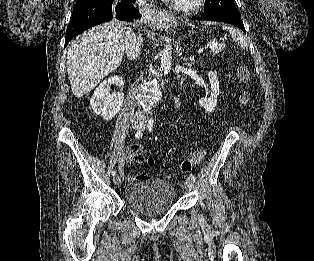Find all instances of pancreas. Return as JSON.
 Here are the masks:
<instances>
[{
  "instance_id": "pancreas-1",
  "label": "pancreas",
  "mask_w": 314,
  "mask_h": 261,
  "mask_svg": "<svg viewBox=\"0 0 314 261\" xmlns=\"http://www.w3.org/2000/svg\"><path fill=\"white\" fill-rule=\"evenodd\" d=\"M225 47H226V44H225V43H220V44H218L217 47L212 50V54H213V55H216V54L220 53L221 51L224 50Z\"/></svg>"
}]
</instances>
